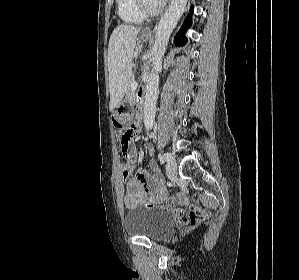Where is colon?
Wrapping results in <instances>:
<instances>
[{
    "mask_svg": "<svg viewBox=\"0 0 299 280\" xmlns=\"http://www.w3.org/2000/svg\"><path fill=\"white\" fill-rule=\"evenodd\" d=\"M134 131L131 128H127L118 133V143L120 151L125 159L121 167V178L127 180L135 169V159L132 154V139ZM147 208L153 207V204H146ZM176 223L180 225H196L203 221L209 213L198 207L195 203L190 210L180 207L168 208Z\"/></svg>",
    "mask_w": 299,
    "mask_h": 280,
    "instance_id": "obj_1",
    "label": "colon"
}]
</instances>
